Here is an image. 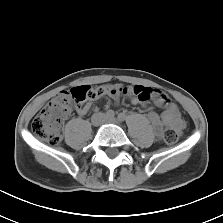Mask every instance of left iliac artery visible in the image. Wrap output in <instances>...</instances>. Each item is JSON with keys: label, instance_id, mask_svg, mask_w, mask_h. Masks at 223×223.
Instances as JSON below:
<instances>
[{"label": "left iliac artery", "instance_id": "1", "mask_svg": "<svg viewBox=\"0 0 223 223\" xmlns=\"http://www.w3.org/2000/svg\"><path fill=\"white\" fill-rule=\"evenodd\" d=\"M118 119L120 121H124L126 119V115L124 113H120V114H118Z\"/></svg>", "mask_w": 223, "mask_h": 223}]
</instances>
